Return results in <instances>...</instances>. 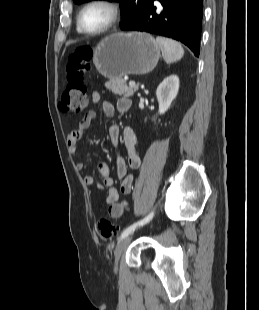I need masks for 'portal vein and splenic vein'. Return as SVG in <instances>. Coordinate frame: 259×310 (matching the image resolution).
<instances>
[{
    "instance_id": "obj_1",
    "label": "portal vein and splenic vein",
    "mask_w": 259,
    "mask_h": 310,
    "mask_svg": "<svg viewBox=\"0 0 259 310\" xmlns=\"http://www.w3.org/2000/svg\"><path fill=\"white\" fill-rule=\"evenodd\" d=\"M135 85H136V83H135L134 81H130V82H129V86H130V87H134Z\"/></svg>"
}]
</instances>
